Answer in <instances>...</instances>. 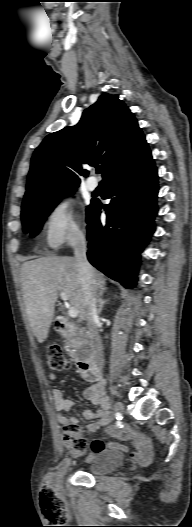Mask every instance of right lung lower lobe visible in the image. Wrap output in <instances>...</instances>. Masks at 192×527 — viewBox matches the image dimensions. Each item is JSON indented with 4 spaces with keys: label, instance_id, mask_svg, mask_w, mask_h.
Instances as JSON below:
<instances>
[{
    "label": "right lung lower lobe",
    "instance_id": "right-lung-lower-lobe-1",
    "mask_svg": "<svg viewBox=\"0 0 192 527\" xmlns=\"http://www.w3.org/2000/svg\"><path fill=\"white\" fill-rule=\"evenodd\" d=\"M111 202L87 209L88 260L108 277L131 288L138 258L155 230L157 169L146 141L103 178ZM107 214L101 224V209Z\"/></svg>",
    "mask_w": 192,
    "mask_h": 527
}]
</instances>
